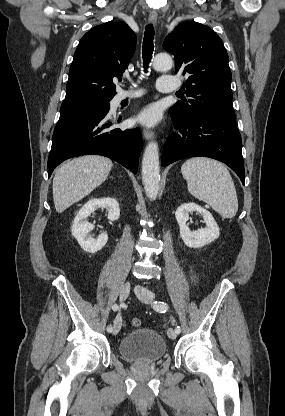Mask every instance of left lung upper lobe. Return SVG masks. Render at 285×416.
Returning <instances> with one entry per match:
<instances>
[{"mask_svg": "<svg viewBox=\"0 0 285 416\" xmlns=\"http://www.w3.org/2000/svg\"><path fill=\"white\" fill-rule=\"evenodd\" d=\"M163 48L174 55L176 73L187 77L184 92L191 97L169 110L172 120L186 122L207 113H234L228 54L212 29L194 21L181 23L167 36Z\"/></svg>", "mask_w": 285, "mask_h": 416, "instance_id": "left-lung-upper-lobe-1", "label": "left lung upper lobe"}]
</instances>
